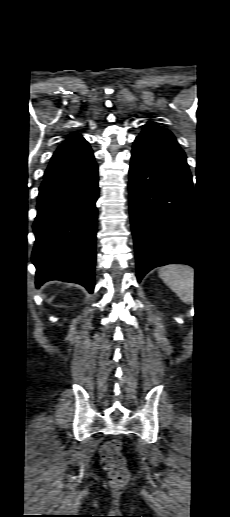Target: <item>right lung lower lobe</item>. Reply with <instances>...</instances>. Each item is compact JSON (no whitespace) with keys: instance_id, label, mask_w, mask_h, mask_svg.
Listing matches in <instances>:
<instances>
[{"instance_id":"98d812e1","label":"right lung lower lobe","mask_w":230,"mask_h":517,"mask_svg":"<svg viewBox=\"0 0 230 517\" xmlns=\"http://www.w3.org/2000/svg\"><path fill=\"white\" fill-rule=\"evenodd\" d=\"M98 196L95 162L68 177L42 183L33 225L37 287L61 280L93 292Z\"/></svg>"}]
</instances>
